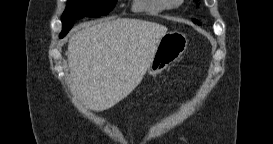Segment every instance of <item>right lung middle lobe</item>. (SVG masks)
Here are the masks:
<instances>
[{
  "instance_id": "obj_1",
  "label": "right lung middle lobe",
  "mask_w": 273,
  "mask_h": 144,
  "mask_svg": "<svg viewBox=\"0 0 273 144\" xmlns=\"http://www.w3.org/2000/svg\"><path fill=\"white\" fill-rule=\"evenodd\" d=\"M117 0H68L62 15L63 38L74 25L75 20L84 16L99 17L107 15L115 6Z\"/></svg>"
}]
</instances>
